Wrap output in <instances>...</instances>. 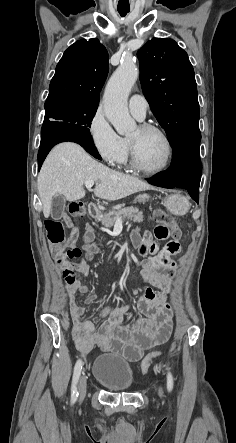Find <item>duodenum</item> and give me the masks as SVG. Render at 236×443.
Here are the masks:
<instances>
[{
	"instance_id": "410a0bca",
	"label": "duodenum",
	"mask_w": 236,
	"mask_h": 443,
	"mask_svg": "<svg viewBox=\"0 0 236 443\" xmlns=\"http://www.w3.org/2000/svg\"><path fill=\"white\" fill-rule=\"evenodd\" d=\"M88 213L91 218H95L100 215V209L94 202H89Z\"/></svg>"
}]
</instances>
